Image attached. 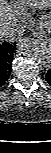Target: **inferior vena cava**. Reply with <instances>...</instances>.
Instances as JSON below:
<instances>
[{
	"label": "inferior vena cava",
	"instance_id": "1",
	"mask_svg": "<svg viewBox=\"0 0 51 153\" xmlns=\"http://www.w3.org/2000/svg\"><path fill=\"white\" fill-rule=\"evenodd\" d=\"M24 33L23 26L20 24H13L0 31V39L5 41H17Z\"/></svg>",
	"mask_w": 51,
	"mask_h": 153
}]
</instances>
